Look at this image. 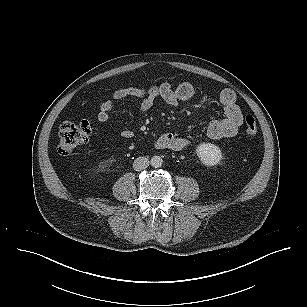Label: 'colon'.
<instances>
[{
	"instance_id": "1",
	"label": "colon",
	"mask_w": 307,
	"mask_h": 307,
	"mask_svg": "<svg viewBox=\"0 0 307 307\" xmlns=\"http://www.w3.org/2000/svg\"><path fill=\"white\" fill-rule=\"evenodd\" d=\"M91 132L92 126L89 120L64 122L59 129V152L61 154L71 153L88 141ZM245 132L252 137L258 133V124L252 115L245 117Z\"/></svg>"
}]
</instances>
